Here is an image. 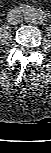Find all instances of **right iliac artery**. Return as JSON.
<instances>
[{
    "instance_id": "82829eb1",
    "label": "right iliac artery",
    "mask_w": 51,
    "mask_h": 153,
    "mask_svg": "<svg viewBox=\"0 0 51 153\" xmlns=\"http://www.w3.org/2000/svg\"><path fill=\"white\" fill-rule=\"evenodd\" d=\"M28 6L27 5H25V4H21L20 6H19V8H21V9H25V8H27Z\"/></svg>"
}]
</instances>
